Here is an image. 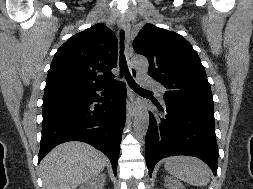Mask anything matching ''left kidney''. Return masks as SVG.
Segmentation results:
<instances>
[{"label":"left kidney","instance_id":"obj_1","mask_svg":"<svg viewBox=\"0 0 253 189\" xmlns=\"http://www.w3.org/2000/svg\"><path fill=\"white\" fill-rule=\"evenodd\" d=\"M165 186L168 189H183V186L180 182L173 180L172 178H166L165 179Z\"/></svg>","mask_w":253,"mask_h":189}]
</instances>
